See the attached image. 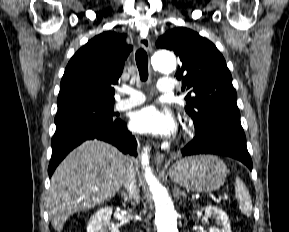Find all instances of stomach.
<instances>
[{
    "label": "stomach",
    "mask_w": 289,
    "mask_h": 232,
    "mask_svg": "<svg viewBox=\"0 0 289 232\" xmlns=\"http://www.w3.org/2000/svg\"><path fill=\"white\" fill-rule=\"evenodd\" d=\"M225 163L216 156H194L176 162L168 170L169 177L180 186L195 192L218 190L227 176Z\"/></svg>",
    "instance_id": "1"
}]
</instances>
